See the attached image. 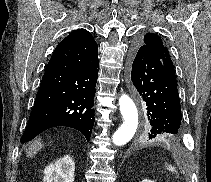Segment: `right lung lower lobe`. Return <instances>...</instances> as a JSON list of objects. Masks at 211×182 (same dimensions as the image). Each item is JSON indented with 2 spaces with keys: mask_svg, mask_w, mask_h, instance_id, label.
Returning <instances> with one entry per match:
<instances>
[{
  "mask_svg": "<svg viewBox=\"0 0 211 182\" xmlns=\"http://www.w3.org/2000/svg\"><path fill=\"white\" fill-rule=\"evenodd\" d=\"M98 67V46L90 33L62 40L46 67L21 142L56 126L75 128L89 141Z\"/></svg>",
  "mask_w": 211,
  "mask_h": 182,
  "instance_id": "right-lung-lower-lobe-1",
  "label": "right lung lower lobe"
}]
</instances>
